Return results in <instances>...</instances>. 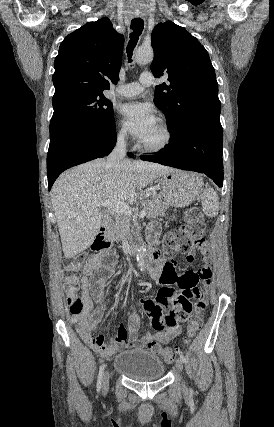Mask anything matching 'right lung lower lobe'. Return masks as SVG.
Returning a JSON list of instances; mask_svg holds the SVG:
<instances>
[{
  "label": "right lung lower lobe",
  "instance_id": "obj_1",
  "mask_svg": "<svg viewBox=\"0 0 274 427\" xmlns=\"http://www.w3.org/2000/svg\"><path fill=\"white\" fill-rule=\"evenodd\" d=\"M114 121L103 125H75L50 140L47 155L48 190L64 170L108 155L116 143ZM133 157L132 153L128 154Z\"/></svg>",
  "mask_w": 274,
  "mask_h": 427
}]
</instances>
